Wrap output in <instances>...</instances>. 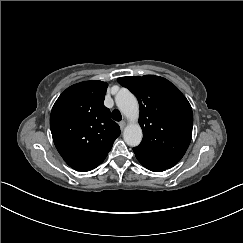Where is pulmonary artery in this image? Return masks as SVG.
Returning <instances> with one entry per match:
<instances>
[{
  "mask_svg": "<svg viewBox=\"0 0 243 243\" xmlns=\"http://www.w3.org/2000/svg\"><path fill=\"white\" fill-rule=\"evenodd\" d=\"M117 105H118V107H122V105H123V99H118L117 100Z\"/></svg>",
  "mask_w": 243,
  "mask_h": 243,
  "instance_id": "obj_1",
  "label": "pulmonary artery"
}]
</instances>
